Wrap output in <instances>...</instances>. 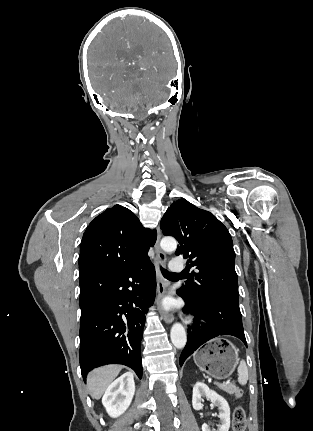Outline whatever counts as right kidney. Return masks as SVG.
<instances>
[{"instance_id": "ca27d5eb", "label": "right kidney", "mask_w": 313, "mask_h": 431, "mask_svg": "<svg viewBox=\"0 0 313 431\" xmlns=\"http://www.w3.org/2000/svg\"><path fill=\"white\" fill-rule=\"evenodd\" d=\"M135 393L134 375L126 372L112 382L105 391L102 404L109 416L116 418L130 406Z\"/></svg>"}]
</instances>
